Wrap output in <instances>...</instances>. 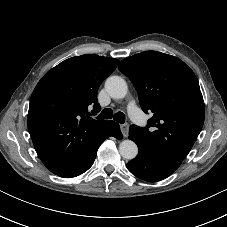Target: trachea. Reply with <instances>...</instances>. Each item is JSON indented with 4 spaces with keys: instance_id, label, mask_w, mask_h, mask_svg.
Wrapping results in <instances>:
<instances>
[{
    "instance_id": "trachea-1",
    "label": "trachea",
    "mask_w": 227,
    "mask_h": 227,
    "mask_svg": "<svg viewBox=\"0 0 227 227\" xmlns=\"http://www.w3.org/2000/svg\"><path fill=\"white\" fill-rule=\"evenodd\" d=\"M112 118L121 124L125 122V115L123 112H117L113 114L112 109H109V108L103 109L100 115L98 116V119H112Z\"/></svg>"
}]
</instances>
